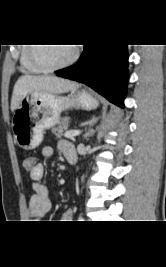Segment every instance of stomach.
Segmentation results:
<instances>
[{
  "instance_id": "1",
  "label": "stomach",
  "mask_w": 166,
  "mask_h": 267,
  "mask_svg": "<svg viewBox=\"0 0 166 267\" xmlns=\"http://www.w3.org/2000/svg\"><path fill=\"white\" fill-rule=\"evenodd\" d=\"M98 101L86 91H73L69 96L51 93H31L14 111L12 130L16 143L25 150L38 147L46 129L60 121L62 111L70 107L92 110Z\"/></svg>"
}]
</instances>
